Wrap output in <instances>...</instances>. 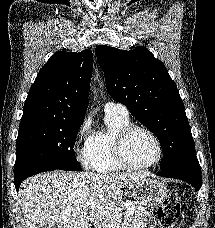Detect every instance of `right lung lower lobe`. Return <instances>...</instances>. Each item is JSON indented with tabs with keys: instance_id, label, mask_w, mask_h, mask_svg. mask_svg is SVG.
Instances as JSON below:
<instances>
[{
	"instance_id": "1",
	"label": "right lung lower lobe",
	"mask_w": 215,
	"mask_h": 228,
	"mask_svg": "<svg viewBox=\"0 0 215 228\" xmlns=\"http://www.w3.org/2000/svg\"><path fill=\"white\" fill-rule=\"evenodd\" d=\"M52 170H58V169H53V168H37V169H30V170H25L23 172H20L18 174H15L14 176V183H15V187H16V191L19 190V186L21 184V182L23 180H25L26 178L41 173V172H45V171H52Z\"/></svg>"
}]
</instances>
